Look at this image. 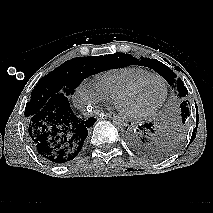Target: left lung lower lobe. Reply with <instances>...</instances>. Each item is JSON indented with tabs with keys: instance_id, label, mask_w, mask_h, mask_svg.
Returning a JSON list of instances; mask_svg holds the SVG:
<instances>
[{
	"instance_id": "obj_1",
	"label": "left lung lower lobe",
	"mask_w": 213,
	"mask_h": 213,
	"mask_svg": "<svg viewBox=\"0 0 213 213\" xmlns=\"http://www.w3.org/2000/svg\"><path fill=\"white\" fill-rule=\"evenodd\" d=\"M127 128L124 135L131 150L146 158L163 157L159 154V145L165 134L153 122Z\"/></svg>"
}]
</instances>
